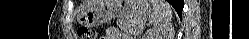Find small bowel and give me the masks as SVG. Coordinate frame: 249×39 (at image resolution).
<instances>
[{"label": "small bowel", "mask_w": 249, "mask_h": 39, "mask_svg": "<svg viewBox=\"0 0 249 39\" xmlns=\"http://www.w3.org/2000/svg\"><path fill=\"white\" fill-rule=\"evenodd\" d=\"M101 39H120V35L117 29L109 28L106 34L101 37Z\"/></svg>", "instance_id": "small-bowel-1"}]
</instances>
